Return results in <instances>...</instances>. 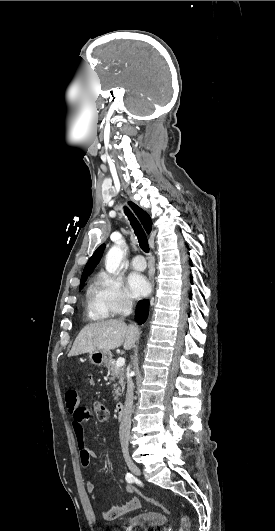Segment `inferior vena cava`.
<instances>
[{
  "label": "inferior vena cava",
  "mask_w": 275,
  "mask_h": 531,
  "mask_svg": "<svg viewBox=\"0 0 275 531\" xmlns=\"http://www.w3.org/2000/svg\"><path fill=\"white\" fill-rule=\"evenodd\" d=\"M132 313V303L129 299H125L123 307V315H131ZM133 395H134V383L129 377L127 379V393L125 407L122 415V421L119 427V439L122 449H128L130 429H131V415L133 413Z\"/></svg>",
  "instance_id": "inferior-vena-cava-1"
}]
</instances>
